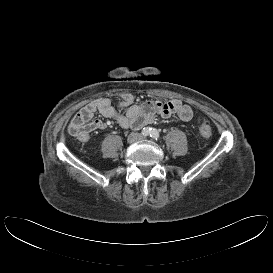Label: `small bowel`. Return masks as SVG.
<instances>
[{
  "label": "small bowel",
  "mask_w": 273,
  "mask_h": 273,
  "mask_svg": "<svg viewBox=\"0 0 273 273\" xmlns=\"http://www.w3.org/2000/svg\"><path fill=\"white\" fill-rule=\"evenodd\" d=\"M116 106L127 108L126 114H120ZM97 112L106 118L114 119L125 129H139L153 122L157 115L164 118L176 115L182 121H189L193 116L191 107L177 99L134 104L133 97L130 94H125L122 100L115 105L112 100L101 98L81 108L68 126L69 132L80 142L89 141L93 131L102 130L106 127L103 121L94 118Z\"/></svg>",
  "instance_id": "c3829d8e"
}]
</instances>
